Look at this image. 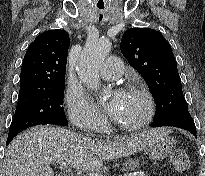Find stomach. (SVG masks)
I'll return each instance as SVG.
<instances>
[{"label":"stomach","instance_id":"stomach-1","mask_svg":"<svg viewBox=\"0 0 205 176\" xmlns=\"http://www.w3.org/2000/svg\"><path fill=\"white\" fill-rule=\"evenodd\" d=\"M176 142L174 138L170 137L168 134L161 136L156 139L149 146V156L153 160H162L166 158L173 149L175 148ZM140 165V159H129L124 163L123 167L125 170H134Z\"/></svg>","mask_w":205,"mask_h":176}]
</instances>
